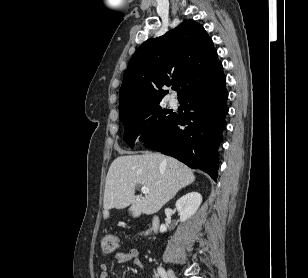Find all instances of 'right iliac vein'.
I'll return each mask as SVG.
<instances>
[{"label":"right iliac vein","mask_w":308,"mask_h":278,"mask_svg":"<svg viewBox=\"0 0 308 278\" xmlns=\"http://www.w3.org/2000/svg\"><path fill=\"white\" fill-rule=\"evenodd\" d=\"M167 278H176L175 273L173 272L172 269H168Z\"/></svg>","instance_id":"obj_1"}]
</instances>
